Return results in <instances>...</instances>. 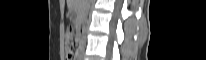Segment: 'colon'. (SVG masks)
<instances>
[{
	"instance_id": "colon-1",
	"label": "colon",
	"mask_w": 206,
	"mask_h": 60,
	"mask_svg": "<svg viewBox=\"0 0 206 60\" xmlns=\"http://www.w3.org/2000/svg\"><path fill=\"white\" fill-rule=\"evenodd\" d=\"M66 38L69 43L68 56L70 59H72L75 56L76 52L78 51L79 45L76 43L74 39V31L71 27L68 28L66 31Z\"/></svg>"
}]
</instances>
